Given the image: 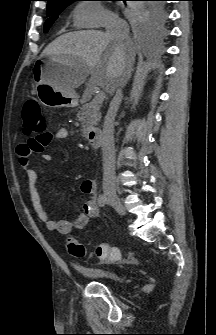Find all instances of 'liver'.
I'll use <instances>...</instances> for the list:
<instances>
[{"mask_svg":"<svg viewBox=\"0 0 216 335\" xmlns=\"http://www.w3.org/2000/svg\"><path fill=\"white\" fill-rule=\"evenodd\" d=\"M136 45L131 40L121 43L99 30L74 31L63 34L43 50L42 56L72 58V66L65 74L63 90L74 91L88 77L90 86L114 91L122 62L132 63Z\"/></svg>","mask_w":216,"mask_h":335,"instance_id":"6515ba94","label":"liver"}]
</instances>
